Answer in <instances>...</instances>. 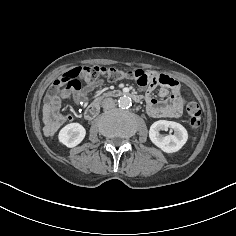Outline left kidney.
I'll return each instance as SVG.
<instances>
[{"instance_id": "1", "label": "left kidney", "mask_w": 236, "mask_h": 236, "mask_svg": "<svg viewBox=\"0 0 236 236\" xmlns=\"http://www.w3.org/2000/svg\"><path fill=\"white\" fill-rule=\"evenodd\" d=\"M168 128L174 130L173 135H162L161 130L167 131ZM149 138L153 144L166 153L179 151L187 142V130L179 123L167 120L154 122L149 130Z\"/></svg>"}]
</instances>
